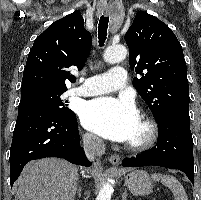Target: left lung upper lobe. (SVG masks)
<instances>
[{"label":"left lung upper lobe","mask_w":201,"mask_h":200,"mask_svg":"<svg viewBox=\"0 0 201 200\" xmlns=\"http://www.w3.org/2000/svg\"><path fill=\"white\" fill-rule=\"evenodd\" d=\"M131 69L142 77L133 85L156 121L172 110L189 111V86L183 49L172 30L140 11L124 36Z\"/></svg>","instance_id":"1"}]
</instances>
